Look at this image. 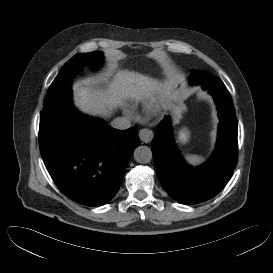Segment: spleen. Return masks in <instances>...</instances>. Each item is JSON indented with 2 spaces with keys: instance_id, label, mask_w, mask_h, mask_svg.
<instances>
[{
  "instance_id": "obj_1",
  "label": "spleen",
  "mask_w": 273,
  "mask_h": 273,
  "mask_svg": "<svg viewBox=\"0 0 273 273\" xmlns=\"http://www.w3.org/2000/svg\"><path fill=\"white\" fill-rule=\"evenodd\" d=\"M186 160L192 165H198L204 161V158L199 155H187Z\"/></svg>"
}]
</instances>
